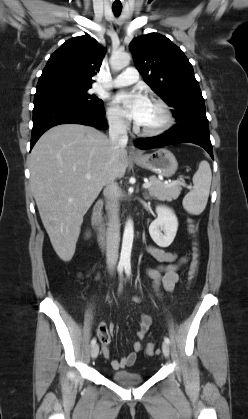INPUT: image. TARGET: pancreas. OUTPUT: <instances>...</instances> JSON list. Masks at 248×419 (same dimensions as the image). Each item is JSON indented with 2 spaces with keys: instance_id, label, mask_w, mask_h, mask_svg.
<instances>
[{
  "instance_id": "obj_1",
  "label": "pancreas",
  "mask_w": 248,
  "mask_h": 419,
  "mask_svg": "<svg viewBox=\"0 0 248 419\" xmlns=\"http://www.w3.org/2000/svg\"><path fill=\"white\" fill-rule=\"evenodd\" d=\"M149 180L152 183L148 188L150 195L160 201L171 202L176 200L181 193L182 187L180 184H164L155 176L149 177Z\"/></svg>"
}]
</instances>
